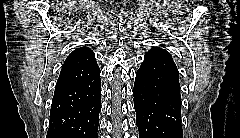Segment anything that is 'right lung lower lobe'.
<instances>
[{"instance_id": "right-lung-lower-lobe-1", "label": "right lung lower lobe", "mask_w": 240, "mask_h": 138, "mask_svg": "<svg viewBox=\"0 0 240 138\" xmlns=\"http://www.w3.org/2000/svg\"><path fill=\"white\" fill-rule=\"evenodd\" d=\"M100 95V74L79 85L56 90L46 138H97Z\"/></svg>"}]
</instances>
